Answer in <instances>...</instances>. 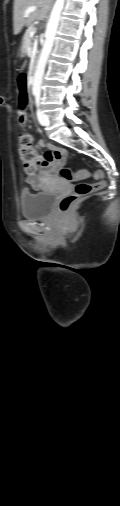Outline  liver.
<instances>
[{
  "label": "liver",
  "instance_id": "obj_1",
  "mask_svg": "<svg viewBox=\"0 0 120 506\" xmlns=\"http://www.w3.org/2000/svg\"><path fill=\"white\" fill-rule=\"evenodd\" d=\"M53 0H14V34H19L23 27L34 20H43L52 6ZM35 6L37 9L28 16L25 11L28 7Z\"/></svg>",
  "mask_w": 120,
  "mask_h": 506
}]
</instances>
